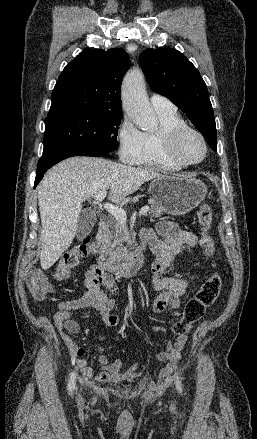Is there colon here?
<instances>
[{
    "instance_id": "5ec220e1",
    "label": "colon",
    "mask_w": 257,
    "mask_h": 439,
    "mask_svg": "<svg viewBox=\"0 0 257 439\" xmlns=\"http://www.w3.org/2000/svg\"><path fill=\"white\" fill-rule=\"evenodd\" d=\"M213 219V211L208 203H203L197 210V221L201 228V245L206 255L214 253V242L209 230ZM97 253V246L86 237L80 244L68 250L59 263L56 277L64 280L70 276L71 269L76 267L81 259L93 256ZM215 266V262H213ZM27 285L30 292L38 299H44L54 292L53 284L46 276L37 269H30L27 273ZM222 286V279L218 272L214 271L198 288L195 295L189 299L184 307L182 316L174 323L173 332L183 335L188 327L200 320L206 310L218 297Z\"/></svg>"
}]
</instances>
